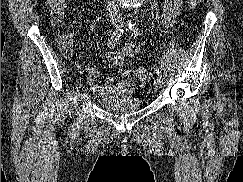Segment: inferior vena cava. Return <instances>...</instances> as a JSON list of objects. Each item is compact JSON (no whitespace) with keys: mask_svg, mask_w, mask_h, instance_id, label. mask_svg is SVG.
<instances>
[{"mask_svg":"<svg viewBox=\"0 0 243 182\" xmlns=\"http://www.w3.org/2000/svg\"><path fill=\"white\" fill-rule=\"evenodd\" d=\"M107 8L111 14L119 15L120 13L116 0H107Z\"/></svg>","mask_w":243,"mask_h":182,"instance_id":"602c4592","label":"inferior vena cava"}]
</instances>
